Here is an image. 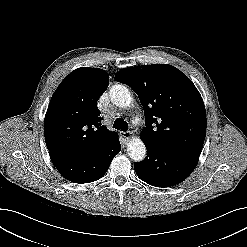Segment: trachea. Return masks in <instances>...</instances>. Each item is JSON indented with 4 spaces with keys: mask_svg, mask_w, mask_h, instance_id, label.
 I'll use <instances>...</instances> for the list:
<instances>
[{
    "mask_svg": "<svg viewBox=\"0 0 247 247\" xmlns=\"http://www.w3.org/2000/svg\"><path fill=\"white\" fill-rule=\"evenodd\" d=\"M113 127L117 130H121L125 132L128 130V123L121 118H117L114 121Z\"/></svg>",
    "mask_w": 247,
    "mask_h": 247,
    "instance_id": "trachea-1",
    "label": "trachea"
}]
</instances>
